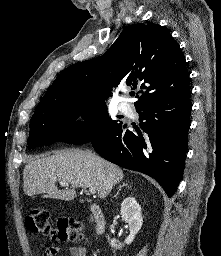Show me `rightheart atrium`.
<instances>
[{"mask_svg":"<svg viewBox=\"0 0 221 256\" xmlns=\"http://www.w3.org/2000/svg\"><path fill=\"white\" fill-rule=\"evenodd\" d=\"M84 123H85V120H83V119H77L76 121L73 122V126H74V127H79V126L84 125Z\"/></svg>","mask_w":221,"mask_h":256,"instance_id":"obj_1","label":"right heart atrium"}]
</instances>
